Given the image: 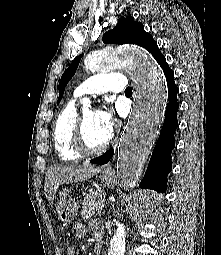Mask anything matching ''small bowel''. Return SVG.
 I'll list each match as a JSON object with an SVG mask.
<instances>
[{
	"instance_id": "c3829d8e",
	"label": "small bowel",
	"mask_w": 221,
	"mask_h": 255,
	"mask_svg": "<svg viewBox=\"0 0 221 255\" xmlns=\"http://www.w3.org/2000/svg\"><path fill=\"white\" fill-rule=\"evenodd\" d=\"M92 231L95 239L96 238H102V235H103V229H102V226L97 223V222H92L90 224V227L88 228L85 224L83 223H76L73 225L72 227V233L75 237H79V238H82V237H85L89 231ZM75 250L73 247H69L67 249V255H75Z\"/></svg>"
}]
</instances>
